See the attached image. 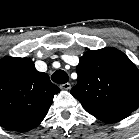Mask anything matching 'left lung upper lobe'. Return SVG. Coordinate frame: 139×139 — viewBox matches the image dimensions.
I'll return each instance as SVG.
<instances>
[{
  "label": "left lung upper lobe",
  "mask_w": 139,
  "mask_h": 139,
  "mask_svg": "<svg viewBox=\"0 0 139 139\" xmlns=\"http://www.w3.org/2000/svg\"><path fill=\"white\" fill-rule=\"evenodd\" d=\"M71 94L95 117L130 115L139 105V70L120 50L86 52L76 68Z\"/></svg>",
  "instance_id": "1"
}]
</instances>
